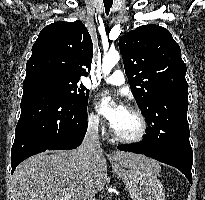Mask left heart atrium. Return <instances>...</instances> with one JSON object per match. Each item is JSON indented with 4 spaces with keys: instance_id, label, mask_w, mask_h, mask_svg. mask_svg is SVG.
<instances>
[{
    "instance_id": "obj_1",
    "label": "left heart atrium",
    "mask_w": 205,
    "mask_h": 200,
    "mask_svg": "<svg viewBox=\"0 0 205 200\" xmlns=\"http://www.w3.org/2000/svg\"><path fill=\"white\" fill-rule=\"evenodd\" d=\"M98 107L100 112L105 116V118L108 120L111 127H113L121 115L125 112L127 109L123 102L119 101L116 104L110 106L107 104V94H101L99 101H98Z\"/></svg>"
}]
</instances>
